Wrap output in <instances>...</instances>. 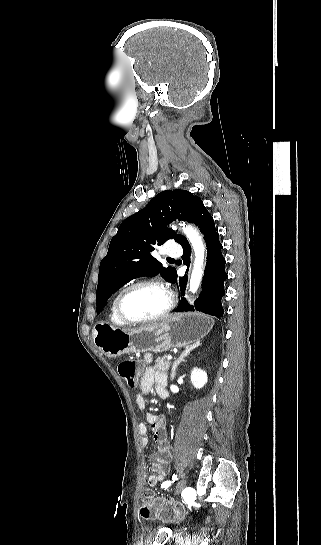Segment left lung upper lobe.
<instances>
[{
    "label": "left lung upper lobe",
    "mask_w": 321,
    "mask_h": 545,
    "mask_svg": "<svg viewBox=\"0 0 321 545\" xmlns=\"http://www.w3.org/2000/svg\"><path fill=\"white\" fill-rule=\"evenodd\" d=\"M200 205L202 200L189 191L166 190L122 222L100 264L97 313L115 291L135 278L161 274L172 281L176 269L163 267L151 252L168 239L180 243L184 236L167 229V224L176 219L190 222Z\"/></svg>",
    "instance_id": "left-lung-upper-lobe-1"
}]
</instances>
